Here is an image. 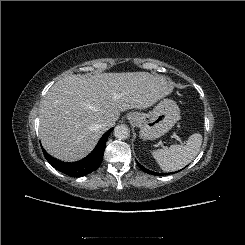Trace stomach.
Returning <instances> with one entry per match:
<instances>
[{
  "instance_id": "obj_1",
  "label": "stomach",
  "mask_w": 245,
  "mask_h": 245,
  "mask_svg": "<svg viewBox=\"0 0 245 245\" xmlns=\"http://www.w3.org/2000/svg\"><path fill=\"white\" fill-rule=\"evenodd\" d=\"M132 122L140 128V138L154 140L167 133L179 120L180 109L171 99L161 100L149 113H132Z\"/></svg>"
}]
</instances>
